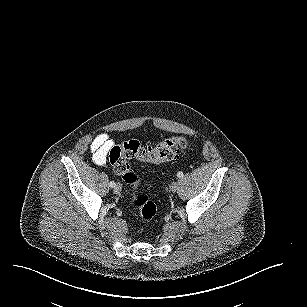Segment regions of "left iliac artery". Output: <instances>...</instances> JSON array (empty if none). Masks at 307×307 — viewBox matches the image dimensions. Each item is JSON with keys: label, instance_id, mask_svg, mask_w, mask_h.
<instances>
[{"label": "left iliac artery", "instance_id": "obj_1", "mask_svg": "<svg viewBox=\"0 0 307 307\" xmlns=\"http://www.w3.org/2000/svg\"><path fill=\"white\" fill-rule=\"evenodd\" d=\"M177 176H178L179 178H182V177H183V173H182V172H178Z\"/></svg>", "mask_w": 307, "mask_h": 307}]
</instances>
